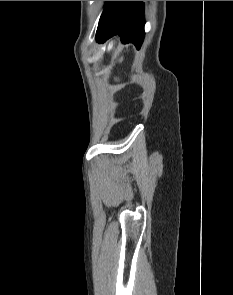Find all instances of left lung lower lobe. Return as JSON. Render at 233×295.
Returning <instances> with one entry per match:
<instances>
[{
  "mask_svg": "<svg viewBox=\"0 0 233 295\" xmlns=\"http://www.w3.org/2000/svg\"><path fill=\"white\" fill-rule=\"evenodd\" d=\"M143 13L142 1H107L99 20L96 40L102 43L118 34L122 43H133L139 49L145 35Z\"/></svg>",
  "mask_w": 233,
  "mask_h": 295,
  "instance_id": "0a47b994",
  "label": "left lung lower lobe"
}]
</instances>
